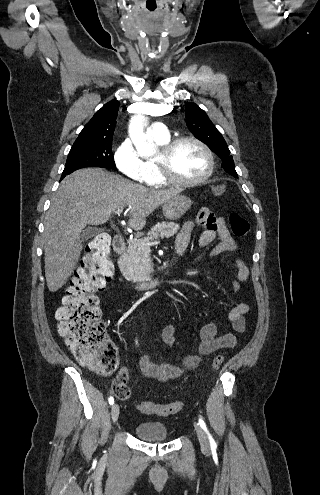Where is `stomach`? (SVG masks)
<instances>
[{"label":"stomach","instance_id":"1","mask_svg":"<svg viewBox=\"0 0 320 495\" xmlns=\"http://www.w3.org/2000/svg\"><path fill=\"white\" fill-rule=\"evenodd\" d=\"M191 205V199L177 194L164 202L162 206L163 215L169 220H177L190 209Z\"/></svg>","mask_w":320,"mask_h":495}]
</instances>
